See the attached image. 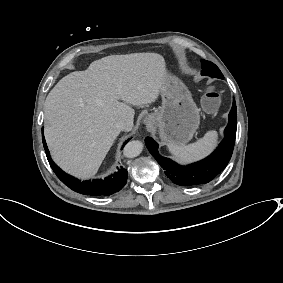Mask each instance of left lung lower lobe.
Returning a JSON list of instances; mask_svg holds the SVG:
<instances>
[{"mask_svg": "<svg viewBox=\"0 0 283 283\" xmlns=\"http://www.w3.org/2000/svg\"><path fill=\"white\" fill-rule=\"evenodd\" d=\"M237 127L236 103L229 113V122L225 128V138L218 148L207 158L187 166H181L172 160L162 157L158 153V144L151 138L145 139L146 146L152 156L165 170V175L175 184L193 186L210 182L228 164L235 143Z\"/></svg>", "mask_w": 283, "mask_h": 283, "instance_id": "1", "label": "left lung lower lobe"}]
</instances>
